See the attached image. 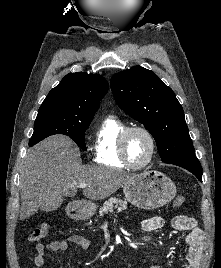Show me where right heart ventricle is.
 Masks as SVG:
<instances>
[{
	"mask_svg": "<svg viewBox=\"0 0 221 268\" xmlns=\"http://www.w3.org/2000/svg\"><path fill=\"white\" fill-rule=\"evenodd\" d=\"M125 128V123L114 116L104 120L94 146V158L98 164L111 168H126L118 152V139Z\"/></svg>",
	"mask_w": 221,
	"mask_h": 268,
	"instance_id": "right-heart-ventricle-1",
	"label": "right heart ventricle"
}]
</instances>
